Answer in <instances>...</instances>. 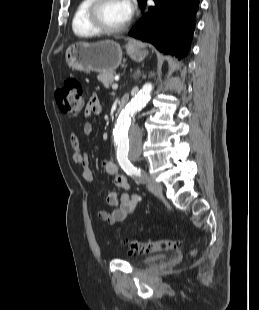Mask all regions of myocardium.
I'll return each mask as SVG.
<instances>
[{"label": "myocardium", "mask_w": 259, "mask_h": 310, "mask_svg": "<svg viewBox=\"0 0 259 310\" xmlns=\"http://www.w3.org/2000/svg\"><path fill=\"white\" fill-rule=\"evenodd\" d=\"M107 2V0H92L91 4L87 10V22L94 29L96 33L99 34H117L126 30L130 24V19H128L123 25L115 28H110L105 26L99 17V12L103 4Z\"/></svg>", "instance_id": "f54148a6"}]
</instances>
